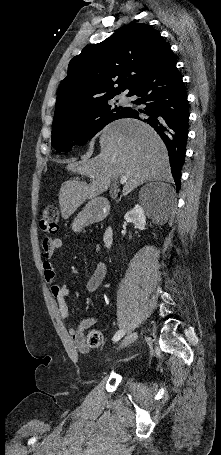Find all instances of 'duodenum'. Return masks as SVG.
I'll return each instance as SVG.
<instances>
[{
	"label": "duodenum",
	"instance_id": "obj_1",
	"mask_svg": "<svg viewBox=\"0 0 221 455\" xmlns=\"http://www.w3.org/2000/svg\"><path fill=\"white\" fill-rule=\"evenodd\" d=\"M108 213V204L104 201L100 203L95 210L94 217L96 220L106 217ZM114 242V230L111 226L107 227L103 234V243L107 248H111Z\"/></svg>",
	"mask_w": 221,
	"mask_h": 455
}]
</instances>
